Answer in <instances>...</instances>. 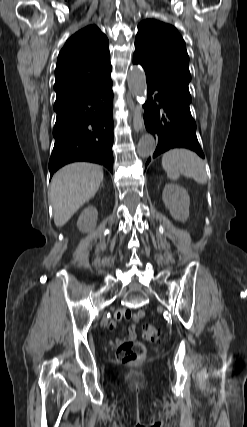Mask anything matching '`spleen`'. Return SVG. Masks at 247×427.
<instances>
[{
    "label": "spleen",
    "mask_w": 247,
    "mask_h": 427,
    "mask_svg": "<svg viewBox=\"0 0 247 427\" xmlns=\"http://www.w3.org/2000/svg\"><path fill=\"white\" fill-rule=\"evenodd\" d=\"M162 167L171 180H177L182 174L202 185L207 182L203 160L190 150L176 148L164 153Z\"/></svg>",
    "instance_id": "1"
}]
</instances>
